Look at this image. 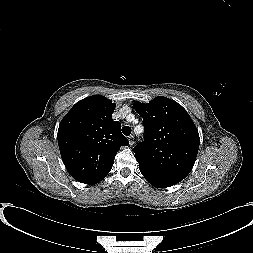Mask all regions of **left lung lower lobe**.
<instances>
[{
    "label": "left lung lower lobe",
    "instance_id": "left-lung-lower-lobe-1",
    "mask_svg": "<svg viewBox=\"0 0 253 253\" xmlns=\"http://www.w3.org/2000/svg\"><path fill=\"white\" fill-rule=\"evenodd\" d=\"M153 186L157 187V188H166V187H170V185L164 184L160 181L151 179L145 175H143Z\"/></svg>",
    "mask_w": 253,
    "mask_h": 253
}]
</instances>
